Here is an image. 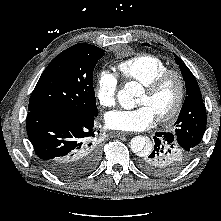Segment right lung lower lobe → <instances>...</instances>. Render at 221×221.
I'll return each mask as SVG.
<instances>
[{
  "label": "right lung lower lobe",
  "mask_w": 221,
  "mask_h": 221,
  "mask_svg": "<svg viewBox=\"0 0 221 221\" xmlns=\"http://www.w3.org/2000/svg\"><path fill=\"white\" fill-rule=\"evenodd\" d=\"M98 112L69 114L30 111L27 134L42 164L53 174L74 179L94 169L99 151L91 142L99 133Z\"/></svg>",
  "instance_id": "1"
}]
</instances>
